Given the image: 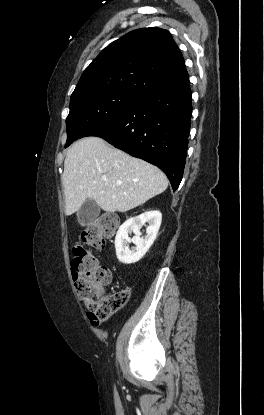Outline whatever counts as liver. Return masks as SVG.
Wrapping results in <instances>:
<instances>
[{"mask_svg": "<svg viewBox=\"0 0 264 415\" xmlns=\"http://www.w3.org/2000/svg\"><path fill=\"white\" fill-rule=\"evenodd\" d=\"M62 180L67 216L87 199L106 212H127L168 187V179L159 168L99 137H85L68 149Z\"/></svg>", "mask_w": 264, "mask_h": 415, "instance_id": "liver-1", "label": "liver"}]
</instances>
